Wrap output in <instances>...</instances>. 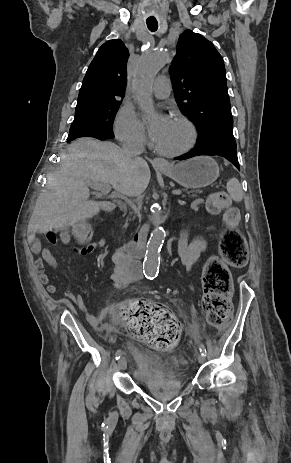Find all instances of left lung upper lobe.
Returning <instances> with one entry per match:
<instances>
[{
    "label": "left lung upper lobe",
    "mask_w": 291,
    "mask_h": 463,
    "mask_svg": "<svg viewBox=\"0 0 291 463\" xmlns=\"http://www.w3.org/2000/svg\"><path fill=\"white\" fill-rule=\"evenodd\" d=\"M170 67L176 102L195 124L197 143L236 148L222 56L202 35L179 37Z\"/></svg>",
    "instance_id": "left-lung-upper-lobe-1"
}]
</instances>
